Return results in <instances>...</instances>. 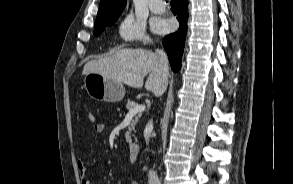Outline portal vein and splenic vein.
Masks as SVG:
<instances>
[{
    "instance_id": "portal-vein-and-splenic-vein-1",
    "label": "portal vein and splenic vein",
    "mask_w": 293,
    "mask_h": 184,
    "mask_svg": "<svg viewBox=\"0 0 293 184\" xmlns=\"http://www.w3.org/2000/svg\"><path fill=\"white\" fill-rule=\"evenodd\" d=\"M145 105L141 104V105H137L136 107H134L133 109L130 110V114H136L139 112H143L145 110Z\"/></svg>"
}]
</instances>
